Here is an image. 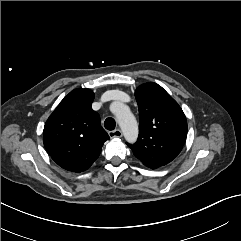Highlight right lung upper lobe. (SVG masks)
Returning a JSON list of instances; mask_svg holds the SVG:
<instances>
[{"instance_id": "obj_1", "label": "right lung upper lobe", "mask_w": 241, "mask_h": 241, "mask_svg": "<svg viewBox=\"0 0 241 241\" xmlns=\"http://www.w3.org/2000/svg\"><path fill=\"white\" fill-rule=\"evenodd\" d=\"M89 89L70 92L45 123L43 143L51 158L63 169L80 173L99 157L109 139L91 105Z\"/></svg>"}]
</instances>
